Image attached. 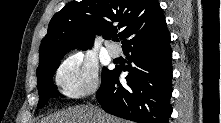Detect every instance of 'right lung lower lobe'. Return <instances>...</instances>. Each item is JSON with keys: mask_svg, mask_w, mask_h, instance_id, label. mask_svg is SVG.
I'll return each mask as SVG.
<instances>
[{"mask_svg": "<svg viewBox=\"0 0 221 123\" xmlns=\"http://www.w3.org/2000/svg\"><path fill=\"white\" fill-rule=\"evenodd\" d=\"M170 34L139 42L124 50L128 65L127 85L119 83L120 69L102 77L97 100L115 116L138 123H169L172 113V50ZM131 52V55H129Z\"/></svg>", "mask_w": 221, "mask_h": 123, "instance_id": "98d812e1", "label": "right lung lower lobe"}]
</instances>
